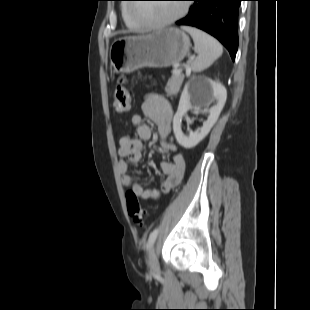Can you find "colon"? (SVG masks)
<instances>
[{
  "mask_svg": "<svg viewBox=\"0 0 310 310\" xmlns=\"http://www.w3.org/2000/svg\"><path fill=\"white\" fill-rule=\"evenodd\" d=\"M130 107V92L127 86V80L121 78L114 90L113 108L117 113H125ZM126 205L129 216L134 223L139 226L144 224V210L140 204L139 197L133 190L126 192Z\"/></svg>",
  "mask_w": 310,
  "mask_h": 310,
  "instance_id": "obj_1",
  "label": "colon"
}]
</instances>
